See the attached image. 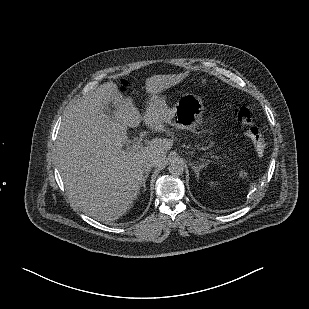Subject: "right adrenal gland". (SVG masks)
I'll list each match as a JSON object with an SVG mask.
<instances>
[{"label":"right adrenal gland","instance_id":"obj_1","mask_svg":"<svg viewBox=\"0 0 309 309\" xmlns=\"http://www.w3.org/2000/svg\"><path fill=\"white\" fill-rule=\"evenodd\" d=\"M148 176H149V173L147 172L146 175H145L144 178H143V184H142V186H143V188H144V191H146V179L148 178Z\"/></svg>","mask_w":309,"mask_h":309}]
</instances>
